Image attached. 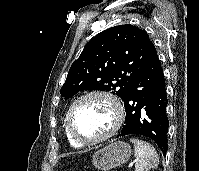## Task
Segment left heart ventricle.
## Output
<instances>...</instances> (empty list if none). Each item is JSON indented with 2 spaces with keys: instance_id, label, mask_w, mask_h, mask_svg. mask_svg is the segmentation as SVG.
<instances>
[{
  "instance_id": "obj_1",
  "label": "left heart ventricle",
  "mask_w": 199,
  "mask_h": 171,
  "mask_svg": "<svg viewBox=\"0 0 199 171\" xmlns=\"http://www.w3.org/2000/svg\"><path fill=\"white\" fill-rule=\"evenodd\" d=\"M112 105L100 97L81 101L74 109L72 123L76 133L85 139H92L107 133L114 124Z\"/></svg>"
}]
</instances>
